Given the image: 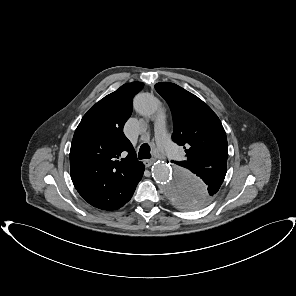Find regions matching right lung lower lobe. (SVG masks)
<instances>
[{"mask_svg": "<svg viewBox=\"0 0 296 296\" xmlns=\"http://www.w3.org/2000/svg\"><path fill=\"white\" fill-rule=\"evenodd\" d=\"M145 167L144 165H142L139 170L137 171V174L135 175L136 179H135V183L136 185L139 183V181L141 180L142 176H143V171H144Z\"/></svg>", "mask_w": 296, "mask_h": 296, "instance_id": "right-lung-lower-lobe-1", "label": "right lung lower lobe"}]
</instances>
